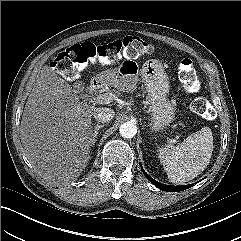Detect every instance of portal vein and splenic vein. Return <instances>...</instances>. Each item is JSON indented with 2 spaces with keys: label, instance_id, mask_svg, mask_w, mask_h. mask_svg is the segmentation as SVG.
<instances>
[{
  "label": "portal vein and splenic vein",
  "instance_id": "18ae733b",
  "mask_svg": "<svg viewBox=\"0 0 241 241\" xmlns=\"http://www.w3.org/2000/svg\"><path fill=\"white\" fill-rule=\"evenodd\" d=\"M93 100L94 102L100 103V104H110L111 102H113V100H115V96L114 94L107 92V93L99 94Z\"/></svg>",
  "mask_w": 241,
  "mask_h": 241
}]
</instances>
